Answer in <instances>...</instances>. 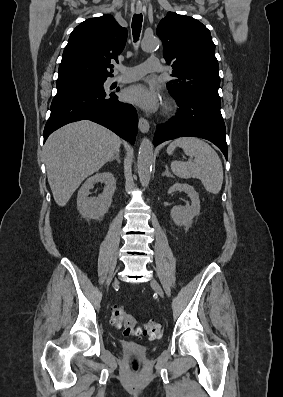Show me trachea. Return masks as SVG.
<instances>
[{
	"label": "trachea",
	"mask_w": 283,
	"mask_h": 397,
	"mask_svg": "<svg viewBox=\"0 0 283 397\" xmlns=\"http://www.w3.org/2000/svg\"><path fill=\"white\" fill-rule=\"evenodd\" d=\"M143 16L142 14H134L132 18V31L134 42L139 40L141 27H142Z\"/></svg>",
	"instance_id": "3493384b"
}]
</instances>
